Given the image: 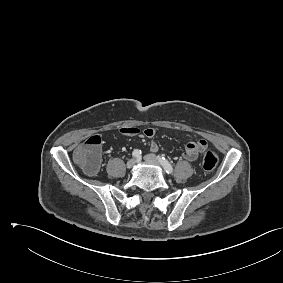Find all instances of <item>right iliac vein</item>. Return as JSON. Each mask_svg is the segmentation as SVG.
<instances>
[{
  "instance_id": "63e3f726",
  "label": "right iliac vein",
  "mask_w": 283,
  "mask_h": 283,
  "mask_svg": "<svg viewBox=\"0 0 283 283\" xmlns=\"http://www.w3.org/2000/svg\"><path fill=\"white\" fill-rule=\"evenodd\" d=\"M135 163H136L135 159L132 158V159L128 160L126 166H127L128 169H131L135 165Z\"/></svg>"
}]
</instances>
